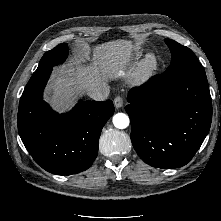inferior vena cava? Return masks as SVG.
<instances>
[{"label": "inferior vena cava", "mask_w": 221, "mask_h": 221, "mask_svg": "<svg viewBox=\"0 0 221 221\" xmlns=\"http://www.w3.org/2000/svg\"><path fill=\"white\" fill-rule=\"evenodd\" d=\"M110 89L108 86H100L88 92V96L95 101H104L108 98Z\"/></svg>", "instance_id": "inferior-vena-cava-1"}]
</instances>
